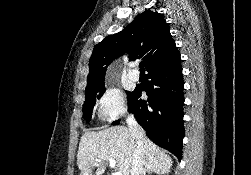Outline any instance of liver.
<instances>
[{"label": "liver", "instance_id": "obj_1", "mask_svg": "<svg viewBox=\"0 0 251 175\" xmlns=\"http://www.w3.org/2000/svg\"><path fill=\"white\" fill-rule=\"evenodd\" d=\"M135 149V141L129 127L124 125H116L102 131H85L80 139L77 153L80 175H101L106 169L109 157L116 159L117 167L123 175H130ZM143 153L146 159L144 163L146 171H156V173L170 171L173 163L171 157L150 139H145ZM96 159L102 161L97 163ZM95 167L96 171L93 173L92 169Z\"/></svg>", "mask_w": 251, "mask_h": 175}]
</instances>
